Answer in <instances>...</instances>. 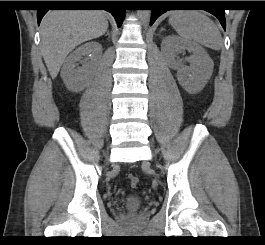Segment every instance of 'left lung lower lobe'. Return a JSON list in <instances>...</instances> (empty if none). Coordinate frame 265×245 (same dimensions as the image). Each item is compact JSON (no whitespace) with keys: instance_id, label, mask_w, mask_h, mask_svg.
Wrapping results in <instances>:
<instances>
[{"instance_id":"1","label":"left lung lower lobe","mask_w":265,"mask_h":245,"mask_svg":"<svg viewBox=\"0 0 265 245\" xmlns=\"http://www.w3.org/2000/svg\"><path fill=\"white\" fill-rule=\"evenodd\" d=\"M154 3L155 8L151 10L150 25H152L162 13L166 12L167 10H171L168 7H192L196 5L193 1H156ZM206 11L217 17L224 30L226 29L225 15L222 8H213Z\"/></svg>"}]
</instances>
